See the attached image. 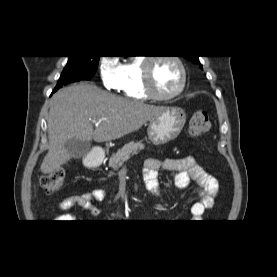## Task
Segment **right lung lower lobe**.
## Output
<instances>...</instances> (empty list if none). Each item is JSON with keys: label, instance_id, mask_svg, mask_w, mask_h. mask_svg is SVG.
<instances>
[{"label": "right lung lower lobe", "instance_id": "1", "mask_svg": "<svg viewBox=\"0 0 277 277\" xmlns=\"http://www.w3.org/2000/svg\"><path fill=\"white\" fill-rule=\"evenodd\" d=\"M62 85V84H61ZM60 88V86L59 85H57L56 87H55V89H54V92L57 90V89H59Z\"/></svg>", "mask_w": 277, "mask_h": 277}]
</instances>
